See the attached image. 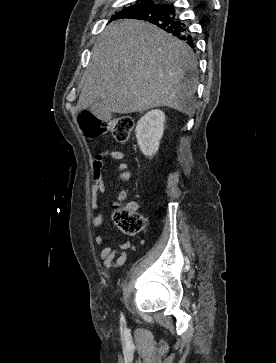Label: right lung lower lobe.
Listing matches in <instances>:
<instances>
[{
  "label": "right lung lower lobe",
  "mask_w": 276,
  "mask_h": 363,
  "mask_svg": "<svg viewBox=\"0 0 276 363\" xmlns=\"http://www.w3.org/2000/svg\"><path fill=\"white\" fill-rule=\"evenodd\" d=\"M125 18H135L156 24L166 32L186 41L192 48L194 47L188 27L184 21L179 18L173 4L162 3L155 5L143 13Z\"/></svg>",
  "instance_id": "right-lung-lower-lobe-1"
}]
</instances>
